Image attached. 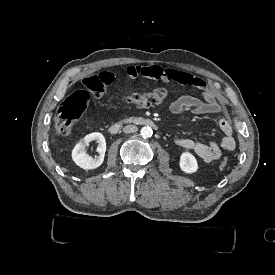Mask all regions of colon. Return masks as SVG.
I'll list each match as a JSON object with an SVG mask.
<instances>
[{"instance_id": "obj_1", "label": "colon", "mask_w": 275, "mask_h": 275, "mask_svg": "<svg viewBox=\"0 0 275 275\" xmlns=\"http://www.w3.org/2000/svg\"><path fill=\"white\" fill-rule=\"evenodd\" d=\"M86 86L96 97L109 90V86L104 85L100 81L98 74L88 77ZM166 97V89L157 88L148 93L132 95L128 98V102L139 107H147L161 103ZM90 101V94L84 89L70 93L55 113L54 124L56 131L63 135L69 134L75 123L88 109ZM218 163L223 170L229 167V160L225 156L220 157Z\"/></svg>"}]
</instances>
